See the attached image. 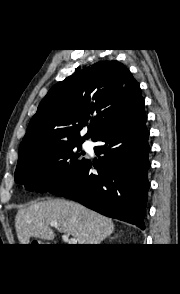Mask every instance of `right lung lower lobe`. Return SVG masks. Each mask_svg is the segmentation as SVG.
<instances>
[{
  "label": "right lung lower lobe",
  "mask_w": 180,
  "mask_h": 294,
  "mask_svg": "<svg viewBox=\"0 0 180 294\" xmlns=\"http://www.w3.org/2000/svg\"><path fill=\"white\" fill-rule=\"evenodd\" d=\"M146 120L141 100L93 139L103 142L94 148L98 156L103 154L99 165L87 160L70 180L49 192L145 229L150 167ZM93 167L98 174L91 172Z\"/></svg>",
  "instance_id": "98d812e1"
}]
</instances>
